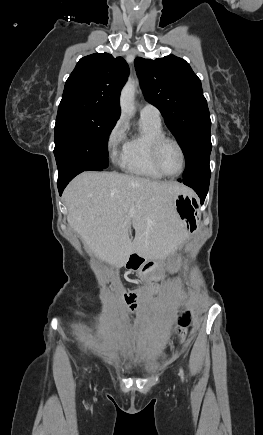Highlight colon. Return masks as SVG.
<instances>
[{"label": "colon", "mask_w": 263, "mask_h": 435, "mask_svg": "<svg viewBox=\"0 0 263 435\" xmlns=\"http://www.w3.org/2000/svg\"><path fill=\"white\" fill-rule=\"evenodd\" d=\"M153 292V288H149L146 292V294H151ZM140 294L138 293H131V294H125L124 299L128 302H136ZM192 321V314L190 312H185L179 316V323L182 327H187ZM185 332L180 333V337L183 336ZM163 343H166V340H163ZM130 348H137V343H130Z\"/></svg>", "instance_id": "1"}]
</instances>
